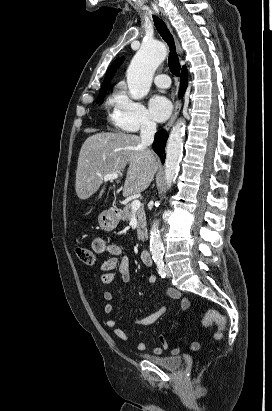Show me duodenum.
Returning a JSON list of instances; mask_svg holds the SVG:
<instances>
[{"instance_id": "obj_1", "label": "duodenum", "mask_w": 272, "mask_h": 411, "mask_svg": "<svg viewBox=\"0 0 272 411\" xmlns=\"http://www.w3.org/2000/svg\"><path fill=\"white\" fill-rule=\"evenodd\" d=\"M110 210L114 213L119 212L118 209L115 208V207L110 208ZM141 258H142V261L145 265L150 266V265L153 264V259L151 257V254H150L149 250H147V249L142 250L141 251Z\"/></svg>"}]
</instances>
